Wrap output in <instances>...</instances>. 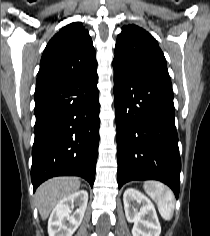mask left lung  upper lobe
Segmentation results:
<instances>
[{"label":"left lung upper lobe","instance_id":"left-lung-upper-lobe-1","mask_svg":"<svg viewBox=\"0 0 210 236\" xmlns=\"http://www.w3.org/2000/svg\"><path fill=\"white\" fill-rule=\"evenodd\" d=\"M113 67L127 75L171 83L166 59L156 39L136 25L124 26L118 35Z\"/></svg>","mask_w":210,"mask_h":236}]
</instances>
